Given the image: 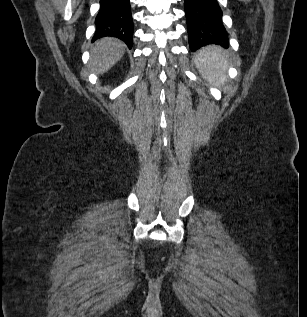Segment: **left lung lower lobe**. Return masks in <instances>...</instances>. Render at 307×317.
<instances>
[{"label":"left lung lower lobe","mask_w":307,"mask_h":317,"mask_svg":"<svg viewBox=\"0 0 307 317\" xmlns=\"http://www.w3.org/2000/svg\"><path fill=\"white\" fill-rule=\"evenodd\" d=\"M189 46L192 52L216 44L229 46L226 29L222 23V10L217 0H184Z\"/></svg>","instance_id":"obj_1"}]
</instances>
